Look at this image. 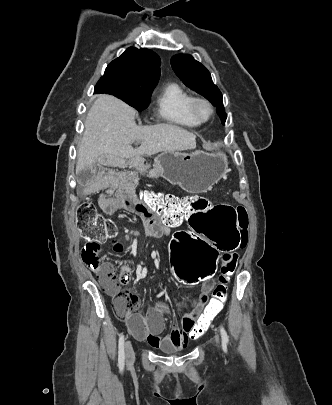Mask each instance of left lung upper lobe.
Returning a JSON list of instances; mask_svg holds the SVG:
<instances>
[{"mask_svg": "<svg viewBox=\"0 0 332 405\" xmlns=\"http://www.w3.org/2000/svg\"><path fill=\"white\" fill-rule=\"evenodd\" d=\"M171 66L186 86L207 98L217 107V114L222 124H225L227 115L222 103V94L214 85L209 71L188 54L174 55L171 58Z\"/></svg>", "mask_w": 332, "mask_h": 405, "instance_id": "1", "label": "left lung upper lobe"}]
</instances>
